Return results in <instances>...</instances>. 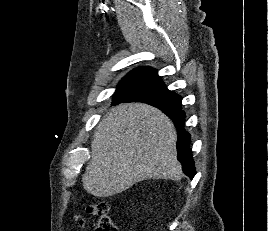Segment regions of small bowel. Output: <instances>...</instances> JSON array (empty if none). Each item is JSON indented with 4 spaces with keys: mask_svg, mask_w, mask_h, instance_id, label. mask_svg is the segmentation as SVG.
Returning <instances> with one entry per match:
<instances>
[{
    "mask_svg": "<svg viewBox=\"0 0 268 231\" xmlns=\"http://www.w3.org/2000/svg\"><path fill=\"white\" fill-rule=\"evenodd\" d=\"M85 210H86V212L90 213V212L92 211V207L87 206ZM74 221L78 224V226H79L81 229L83 228V226H84V224H85V219H84L82 216H80V215H75V216H74Z\"/></svg>",
    "mask_w": 268,
    "mask_h": 231,
    "instance_id": "c3829d8e",
    "label": "small bowel"
}]
</instances>
